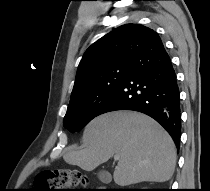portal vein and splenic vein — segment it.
I'll return each instance as SVG.
<instances>
[{"instance_id":"portal-vein-and-splenic-vein-1","label":"portal vein and splenic vein","mask_w":210,"mask_h":191,"mask_svg":"<svg viewBox=\"0 0 210 191\" xmlns=\"http://www.w3.org/2000/svg\"><path fill=\"white\" fill-rule=\"evenodd\" d=\"M119 157H120V156H119L118 154H116V155L114 156V159H115V160H118Z\"/></svg>"}]
</instances>
